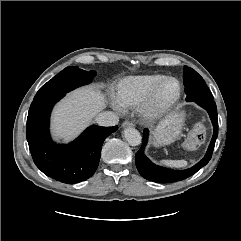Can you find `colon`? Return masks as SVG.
I'll return each instance as SVG.
<instances>
[{
  "instance_id": "5ec220e1",
  "label": "colon",
  "mask_w": 241,
  "mask_h": 241,
  "mask_svg": "<svg viewBox=\"0 0 241 241\" xmlns=\"http://www.w3.org/2000/svg\"><path fill=\"white\" fill-rule=\"evenodd\" d=\"M206 135V124L204 121H200L196 123L191 131L189 132L187 139L185 141V145L188 149L193 150L199 147Z\"/></svg>"
}]
</instances>
